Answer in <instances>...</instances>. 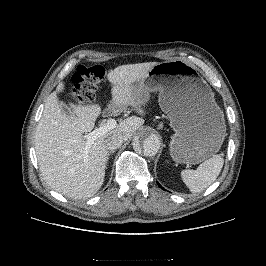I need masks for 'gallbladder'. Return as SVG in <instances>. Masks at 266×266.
Instances as JSON below:
<instances>
[{"mask_svg": "<svg viewBox=\"0 0 266 266\" xmlns=\"http://www.w3.org/2000/svg\"><path fill=\"white\" fill-rule=\"evenodd\" d=\"M59 106H60L62 112H64L67 116H74V113L71 111V109L64 102H60Z\"/></svg>", "mask_w": 266, "mask_h": 266, "instance_id": "gallbladder-1", "label": "gallbladder"}]
</instances>
